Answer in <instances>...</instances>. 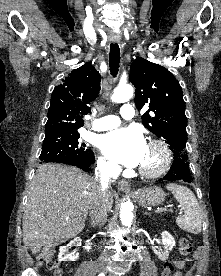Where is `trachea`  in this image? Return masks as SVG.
<instances>
[{"label": "trachea", "instance_id": "1", "mask_svg": "<svg viewBox=\"0 0 221 276\" xmlns=\"http://www.w3.org/2000/svg\"><path fill=\"white\" fill-rule=\"evenodd\" d=\"M120 64V49L118 44L110 45V54H109V67L110 72L113 77H116Z\"/></svg>", "mask_w": 221, "mask_h": 276}]
</instances>
